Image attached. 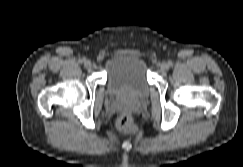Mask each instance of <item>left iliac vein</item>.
Listing matches in <instances>:
<instances>
[{
    "label": "left iliac vein",
    "mask_w": 243,
    "mask_h": 167,
    "mask_svg": "<svg viewBox=\"0 0 243 167\" xmlns=\"http://www.w3.org/2000/svg\"><path fill=\"white\" fill-rule=\"evenodd\" d=\"M160 69L162 72H166L168 69H169V64L166 63V62H163L161 65H160Z\"/></svg>",
    "instance_id": "4c4485c4"
}]
</instances>
